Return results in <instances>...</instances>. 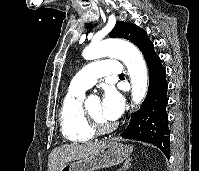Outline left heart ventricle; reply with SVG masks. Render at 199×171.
<instances>
[{"instance_id": "left-heart-ventricle-1", "label": "left heart ventricle", "mask_w": 199, "mask_h": 171, "mask_svg": "<svg viewBox=\"0 0 199 171\" xmlns=\"http://www.w3.org/2000/svg\"><path fill=\"white\" fill-rule=\"evenodd\" d=\"M87 109L95 118H97L98 120H100L103 123L109 124V122L106 121L105 119H103L102 116H101V111H100L101 110V104H100L99 101H96V102L90 104Z\"/></svg>"}]
</instances>
